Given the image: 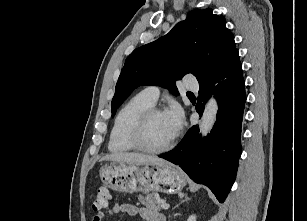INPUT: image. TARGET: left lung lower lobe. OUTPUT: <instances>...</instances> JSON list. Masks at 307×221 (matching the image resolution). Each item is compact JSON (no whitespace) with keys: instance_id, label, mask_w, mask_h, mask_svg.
Wrapping results in <instances>:
<instances>
[{"instance_id":"left-lung-lower-lobe-1","label":"left lung lower lobe","mask_w":307,"mask_h":221,"mask_svg":"<svg viewBox=\"0 0 307 221\" xmlns=\"http://www.w3.org/2000/svg\"><path fill=\"white\" fill-rule=\"evenodd\" d=\"M212 94L218 98L219 111L211 134L201 138L198 127L193 126L176 148L159 157L179 165L223 203L235 181L242 152L240 135L246 94L238 51L214 76L200 83L196 105L200 115Z\"/></svg>"}]
</instances>
